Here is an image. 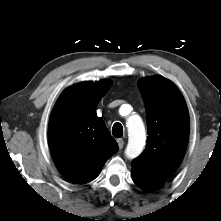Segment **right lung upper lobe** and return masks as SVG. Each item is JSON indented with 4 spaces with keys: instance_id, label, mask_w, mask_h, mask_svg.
Listing matches in <instances>:
<instances>
[{
    "instance_id": "obj_1",
    "label": "right lung upper lobe",
    "mask_w": 221,
    "mask_h": 221,
    "mask_svg": "<svg viewBox=\"0 0 221 221\" xmlns=\"http://www.w3.org/2000/svg\"><path fill=\"white\" fill-rule=\"evenodd\" d=\"M110 82H81L59 97L49 121L48 139L59 172L84 184L95 179L118 145L97 116L96 107Z\"/></svg>"
}]
</instances>
